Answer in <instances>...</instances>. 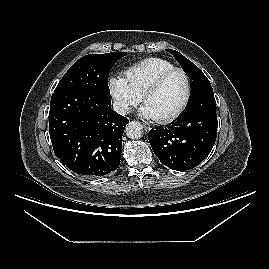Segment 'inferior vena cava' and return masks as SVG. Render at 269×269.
<instances>
[{
    "instance_id": "602c4592",
    "label": "inferior vena cava",
    "mask_w": 269,
    "mask_h": 269,
    "mask_svg": "<svg viewBox=\"0 0 269 269\" xmlns=\"http://www.w3.org/2000/svg\"><path fill=\"white\" fill-rule=\"evenodd\" d=\"M113 109L120 115H126L130 112V107L125 102L115 101L113 103Z\"/></svg>"
}]
</instances>
